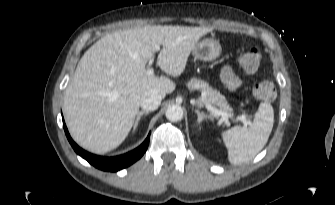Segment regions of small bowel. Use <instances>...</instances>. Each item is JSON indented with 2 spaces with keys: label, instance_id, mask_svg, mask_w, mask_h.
<instances>
[{
  "label": "small bowel",
  "instance_id": "1",
  "mask_svg": "<svg viewBox=\"0 0 335 205\" xmlns=\"http://www.w3.org/2000/svg\"><path fill=\"white\" fill-rule=\"evenodd\" d=\"M220 77L226 87L232 91L237 90L242 85L241 78L229 66H224L220 71Z\"/></svg>",
  "mask_w": 335,
  "mask_h": 205
}]
</instances>
